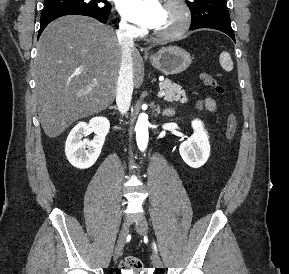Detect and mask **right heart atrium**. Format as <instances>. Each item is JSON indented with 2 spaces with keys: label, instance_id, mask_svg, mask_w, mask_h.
<instances>
[{
  "label": "right heart atrium",
  "instance_id": "right-heart-atrium-1",
  "mask_svg": "<svg viewBox=\"0 0 289 274\" xmlns=\"http://www.w3.org/2000/svg\"><path fill=\"white\" fill-rule=\"evenodd\" d=\"M120 28L123 32L128 33V34H135L138 32V29L136 26L132 25L128 21H126L124 18H120Z\"/></svg>",
  "mask_w": 289,
  "mask_h": 274
}]
</instances>
